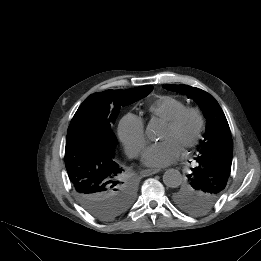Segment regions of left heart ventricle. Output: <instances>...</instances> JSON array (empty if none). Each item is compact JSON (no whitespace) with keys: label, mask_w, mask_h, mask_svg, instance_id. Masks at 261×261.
<instances>
[{"label":"left heart ventricle","mask_w":261,"mask_h":261,"mask_svg":"<svg viewBox=\"0 0 261 261\" xmlns=\"http://www.w3.org/2000/svg\"><path fill=\"white\" fill-rule=\"evenodd\" d=\"M196 126V119L193 116H189L178 128H172L169 125H166L161 135V139L173 138L180 144L181 147H183L184 144L194 135Z\"/></svg>","instance_id":"left-heart-ventricle-1"}]
</instances>
